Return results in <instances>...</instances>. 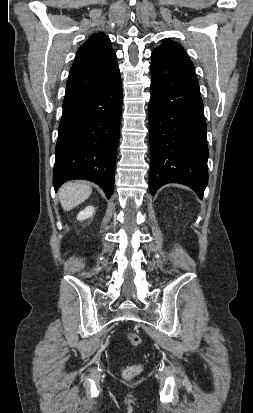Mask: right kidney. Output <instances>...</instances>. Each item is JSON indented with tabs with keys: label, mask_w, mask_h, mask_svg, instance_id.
I'll list each match as a JSON object with an SVG mask.
<instances>
[{
	"label": "right kidney",
	"mask_w": 253,
	"mask_h": 413,
	"mask_svg": "<svg viewBox=\"0 0 253 413\" xmlns=\"http://www.w3.org/2000/svg\"><path fill=\"white\" fill-rule=\"evenodd\" d=\"M95 213V208L93 206H87L84 210L79 212L77 215V220L83 221L85 219L91 218Z\"/></svg>",
	"instance_id": "right-kidney-1"
}]
</instances>
